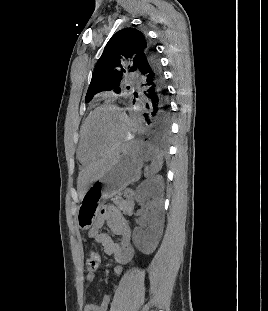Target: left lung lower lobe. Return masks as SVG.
I'll use <instances>...</instances> for the list:
<instances>
[{
	"mask_svg": "<svg viewBox=\"0 0 268 311\" xmlns=\"http://www.w3.org/2000/svg\"><path fill=\"white\" fill-rule=\"evenodd\" d=\"M141 78L143 113L131 135V142L168 141L171 110L161 64L156 53L149 46L148 60L139 64Z\"/></svg>",
	"mask_w": 268,
	"mask_h": 311,
	"instance_id": "left-lung-lower-lobe-1",
	"label": "left lung lower lobe"
}]
</instances>
